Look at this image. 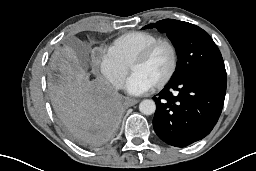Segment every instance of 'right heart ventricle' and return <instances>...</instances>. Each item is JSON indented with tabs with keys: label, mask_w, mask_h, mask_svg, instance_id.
I'll list each match as a JSON object with an SVG mask.
<instances>
[{
	"label": "right heart ventricle",
	"mask_w": 256,
	"mask_h": 171,
	"mask_svg": "<svg viewBox=\"0 0 256 171\" xmlns=\"http://www.w3.org/2000/svg\"><path fill=\"white\" fill-rule=\"evenodd\" d=\"M158 39L157 35L150 32L130 31L114 39L107 51L128 66L142 49Z\"/></svg>",
	"instance_id": "obj_1"
}]
</instances>
